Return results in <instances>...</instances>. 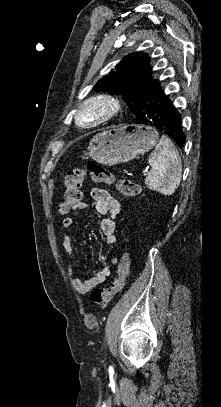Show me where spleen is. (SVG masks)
Returning <instances> with one entry per match:
<instances>
[{
    "mask_svg": "<svg viewBox=\"0 0 221 407\" xmlns=\"http://www.w3.org/2000/svg\"><path fill=\"white\" fill-rule=\"evenodd\" d=\"M152 169L145 179L146 186L165 196L178 188L182 176V161L177 149L167 136H162L148 158Z\"/></svg>",
    "mask_w": 221,
    "mask_h": 407,
    "instance_id": "3e777b00",
    "label": "spleen"
}]
</instances>
